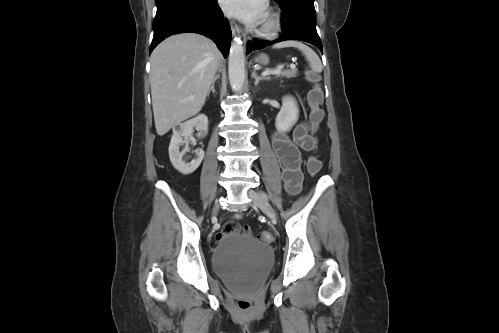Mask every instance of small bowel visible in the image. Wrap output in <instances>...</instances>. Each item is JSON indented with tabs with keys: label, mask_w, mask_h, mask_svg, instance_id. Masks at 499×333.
Segmentation results:
<instances>
[{
	"label": "small bowel",
	"mask_w": 499,
	"mask_h": 333,
	"mask_svg": "<svg viewBox=\"0 0 499 333\" xmlns=\"http://www.w3.org/2000/svg\"><path fill=\"white\" fill-rule=\"evenodd\" d=\"M314 134L312 126L304 121L293 129L291 137L281 131H276L272 136V146L282 169V179L291 195H297L301 190L303 174L300 151H315ZM235 218H241V214H237Z\"/></svg>",
	"instance_id": "small-bowel-1"
}]
</instances>
